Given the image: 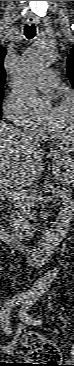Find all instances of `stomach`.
<instances>
[{"instance_id": "obj_1", "label": "stomach", "mask_w": 74, "mask_h": 366, "mask_svg": "<svg viewBox=\"0 0 74 366\" xmlns=\"http://www.w3.org/2000/svg\"><path fill=\"white\" fill-rule=\"evenodd\" d=\"M53 174L62 183H72L74 181V159L69 155L59 153L53 159Z\"/></svg>"}]
</instances>
